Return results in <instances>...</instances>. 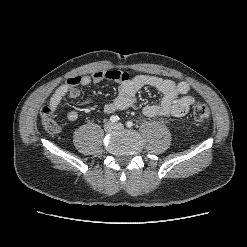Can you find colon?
Segmentation results:
<instances>
[{"instance_id": "obj_1", "label": "colon", "mask_w": 247, "mask_h": 247, "mask_svg": "<svg viewBox=\"0 0 247 247\" xmlns=\"http://www.w3.org/2000/svg\"><path fill=\"white\" fill-rule=\"evenodd\" d=\"M56 111L50 106H45L41 110V118L45 129L49 132H55L58 129L55 119ZM210 116L209 107L206 104L198 103L193 107V117L197 122H204Z\"/></svg>"}]
</instances>
